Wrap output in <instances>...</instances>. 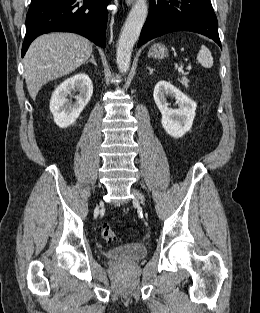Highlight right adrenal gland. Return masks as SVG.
I'll return each mask as SVG.
<instances>
[{"label": "right adrenal gland", "instance_id": "right-adrenal-gland-1", "mask_svg": "<svg viewBox=\"0 0 260 313\" xmlns=\"http://www.w3.org/2000/svg\"><path fill=\"white\" fill-rule=\"evenodd\" d=\"M88 62H92L95 66H97V63H96L95 58H94V54L91 55L90 60L87 61L86 63H88Z\"/></svg>", "mask_w": 260, "mask_h": 313}]
</instances>
